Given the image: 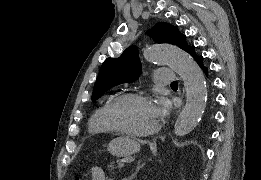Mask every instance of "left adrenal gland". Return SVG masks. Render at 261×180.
I'll use <instances>...</instances> for the list:
<instances>
[{
    "instance_id": "left-adrenal-gland-1",
    "label": "left adrenal gland",
    "mask_w": 261,
    "mask_h": 180,
    "mask_svg": "<svg viewBox=\"0 0 261 180\" xmlns=\"http://www.w3.org/2000/svg\"><path fill=\"white\" fill-rule=\"evenodd\" d=\"M143 166L144 164H141V160H138L136 172H134V174H131V176H129V180H135L140 168H143Z\"/></svg>"
}]
</instances>
